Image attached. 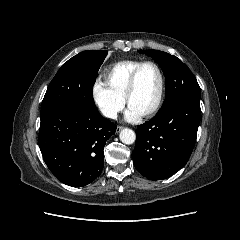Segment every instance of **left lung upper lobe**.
I'll return each instance as SVG.
<instances>
[{
	"label": "left lung upper lobe",
	"mask_w": 240,
	"mask_h": 240,
	"mask_svg": "<svg viewBox=\"0 0 240 240\" xmlns=\"http://www.w3.org/2000/svg\"><path fill=\"white\" fill-rule=\"evenodd\" d=\"M139 52L151 56L164 72L166 92L163 105L182 96L201 97L195 76L179 58L163 51L139 50Z\"/></svg>",
	"instance_id": "1"
}]
</instances>
